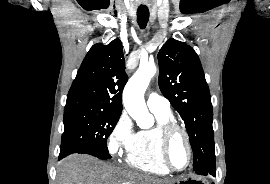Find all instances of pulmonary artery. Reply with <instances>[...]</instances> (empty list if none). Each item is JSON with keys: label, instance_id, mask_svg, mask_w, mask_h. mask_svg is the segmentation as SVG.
I'll list each match as a JSON object with an SVG mask.
<instances>
[{"label": "pulmonary artery", "instance_id": "pulmonary-artery-1", "mask_svg": "<svg viewBox=\"0 0 270 184\" xmlns=\"http://www.w3.org/2000/svg\"><path fill=\"white\" fill-rule=\"evenodd\" d=\"M147 106L151 111H160V112L170 111L169 101L156 93H150L148 95Z\"/></svg>", "mask_w": 270, "mask_h": 184}]
</instances>
